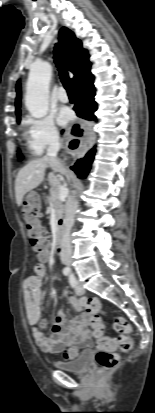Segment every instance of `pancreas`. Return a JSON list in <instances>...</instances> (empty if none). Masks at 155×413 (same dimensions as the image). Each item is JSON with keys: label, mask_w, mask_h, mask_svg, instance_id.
Returning <instances> with one entry per match:
<instances>
[{"label": "pancreas", "mask_w": 155, "mask_h": 413, "mask_svg": "<svg viewBox=\"0 0 155 413\" xmlns=\"http://www.w3.org/2000/svg\"><path fill=\"white\" fill-rule=\"evenodd\" d=\"M59 189H60V184L56 183L53 187L50 188V194L48 197H46L49 207L56 208L57 220H60L63 218V214L66 208L64 202L59 200V197H58Z\"/></svg>", "instance_id": "1"}]
</instances>
